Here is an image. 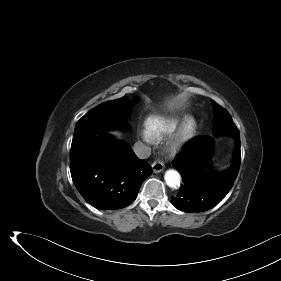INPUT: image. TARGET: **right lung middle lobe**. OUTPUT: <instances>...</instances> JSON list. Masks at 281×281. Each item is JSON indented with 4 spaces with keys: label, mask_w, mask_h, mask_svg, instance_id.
Listing matches in <instances>:
<instances>
[{
    "label": "right lung middle lobe",
    "mask_w": 281,
    "mask_h": 281,
    "mask_svg": "<svg viewBox=\"0 0 281 281\" xmlns=\"http://www.w3.org/2000/svg\"><path fill=\"white\" fill-rule=\"evenodd\" d=\"M128 97L107 101L98 105L78 120L73 139L95 133H105L111 129H125V110Z\"/></svg>",
    "instance_id": "right-lung-middle-lobe-1"
}]
</instances>
